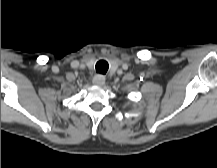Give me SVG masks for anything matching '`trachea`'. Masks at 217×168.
<instances>
[{
  "mask_svg": "<svg viewBox=\"0 0 217 168\" xmlns=\"http://www.w3.org/2000/svg\"><path fill=\"white\" fill-rule=\"evenodd\" d=\"M108 68V62L105 60H100L96 63V72L99 74H106Z\"/></svg>",
  "mask_w": 217,
  "mask_h": 168,
  "instance_id": "obj_1",
  "label": "trachea"
}]
</instances>
